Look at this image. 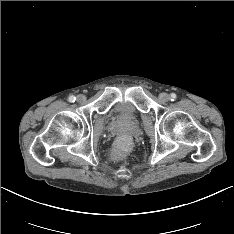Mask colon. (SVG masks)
Wrapping results in <instances>:
<instances>
[{
    "mask_svg": "<svg viewBox=\"0 0 234 234\" xmlns=\"http://www.w3.org/2000/svg\"><path fill=\"white\" fill-rule=\"evenodd\" d=\"M129 147V140L126 137H122L119 139L117 144L118 153H124Z\"/></svg>",
    "mask_w": 234,
    "mask_h": 234,
    "instance_id": "obj_1",
    "label": "colon"
}]
</instances>
